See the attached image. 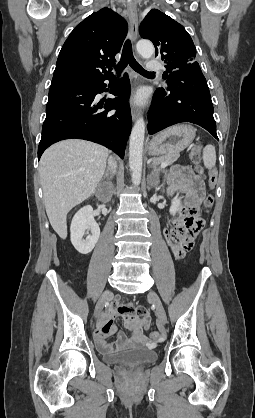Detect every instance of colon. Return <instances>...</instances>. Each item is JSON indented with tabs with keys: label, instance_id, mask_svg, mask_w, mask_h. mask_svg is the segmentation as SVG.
<instances>
[{
	"label": "colon",
	"instance_id": "obj_1",
	"mask_svg": "<svg viewBox=\"0 0 255 418\" xmlns=\"http://www.w3.org/2000/svg\"><path fill=\"white\" fill-rule=\"evenodd\" d=\"M191 159L195 164L198 165V170L202 172V167L200 166L201 158H200L199 152L193 151L191 154ZM216 179H217L216 173H211L208 178V185L210 189H212L215 186ZM213 203H214L213 196L211 194H207L203 202L204 209L210 210L213 206ZM203 226H204V220L202 218L200 208L191 207L188 210L186 217L183 220L179 221L174 226V228H197L198 231L200 232ZM161 339H162V335L159 332H153L150 335V342L152 344L159 342Z\"/></svg>",
	"mask_w": 255,
	"mask_h": 418
}]
</instances>
